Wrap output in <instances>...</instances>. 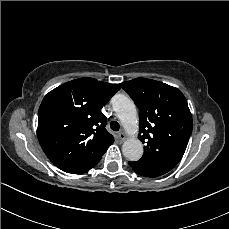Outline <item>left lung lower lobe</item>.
<instances>
[{"label":"left lung lower lobe","instance_id":"0a47b994","mask_svg":"<svg viewBox=\"0 0 229 229\" xmlns=\"http://www.w3.org/2000/svg\"><path fill=\"white\" fill-rule=\"evenodd\" d=\"M129 165L132 167V169H133L137 174L142 175V176H146V177H152V175H151L149 172H147V171H145V170L139 168V167L135 164V162H129Z\"/></svg>","mask_w":229,"mask_h":229}]
</instances>
